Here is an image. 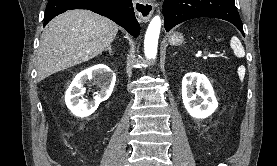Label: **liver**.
I'll list each match as a JSON object with an SVG mask.
<instances>
[{"label":"liver","mask_w":277,"mask_h":166,"mask_svg":"<svg viewBox=\"0 0 277 166\" xmlns=\"http://www.w3.org/2000/svg\"><path fill=\"white\" fill-rule=\"evenodd\" d=\"M117 32V24L88 10L76 9L55 17L41 36L38 81L98 56Z\"/></svg>","instance_id":"liver-1"}]
</instances>
